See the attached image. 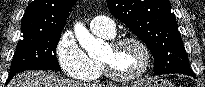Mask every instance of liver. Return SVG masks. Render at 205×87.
I'll list each match as a JSON object with an SVG mask.
<instances>
[{
    "mask_svg": "<svg viewBox=\"0 0 205 87\" xmlns=\"http://www.w3.org/2000/svg\"><path fill=\"white\" fill-rule=\"evenodd\" d=\"M8 87H112L98 84H83L44 71H26L17 74Z\"/></svg>",
    "mask_w": 205,
    "mask_h": 87,
    "instance_id": "1",
    "label": "liver"
}]
</instances>
